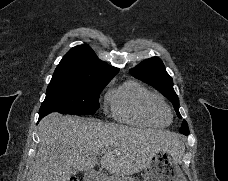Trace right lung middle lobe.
<instances>
[{
	"label": "right lung middle lobe",
	"instance_id": "right-lung-middle-lobe-1",
	"mask_svg": "<svg viewBox=\"0 0 228 181\" xmlns=\"http://www.w3.org/2000/svg\"><path fill=\"white\" fill-rule=\"evenodd\" d=\"M109 81L84 83L51 81L39 111V119L54 111L71 115L94 114L100 106L99 95Z\"/></svg>",
	"mask_w": 228,
	"mask_h": 181
}]
</instances>
